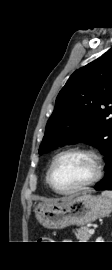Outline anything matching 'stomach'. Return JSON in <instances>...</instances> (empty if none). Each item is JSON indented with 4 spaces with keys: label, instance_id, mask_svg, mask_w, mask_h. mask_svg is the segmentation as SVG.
<instances>
[{
    "label": "stomach",
    "instance_id": "1",
    "mask_svg": "<svg viewBox=\"0 0 112 270\" xmlns=\"http://www.w3.org/2000/svg\"><path fill=\"white\" fill-rule=\"evenodd\" d=\"M37 220L46 228L84 226L112 212V201L101 195L83 193L65 201H48L35 206Z\"/></svg>",
    "mask_w": 112,
    "mask_h": 270
}]
</instances>
